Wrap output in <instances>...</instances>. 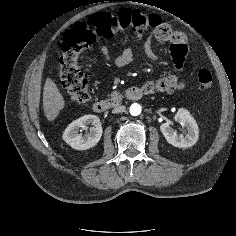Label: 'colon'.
Instances as JSON below:
<instances>
[{"mask_svg": "<svg viewBox=\"0 0 236 236\" xmlns=\"http://www.w3.org/2000/svg\"><path fill=\"white\" fill-rule=\"evenodd\" d=\"M126 30H130L138 38L151 32L165 42H173L178 38V34L157 15L130 9L95 14L84 22L76 23L64 35L60 56L62 83L74 102L85 104L91 99V88L81 69L84 53L97 39H109ZM197 78L202 90L212 87L213 75L208 68L199 69Z\"/></svg>", "mask_w": 236, "mask_h": 236, "instance_id": "1", "label": "colon"}]
</instances>
